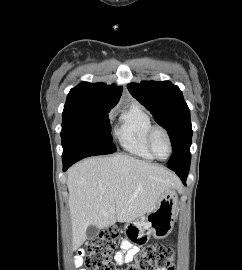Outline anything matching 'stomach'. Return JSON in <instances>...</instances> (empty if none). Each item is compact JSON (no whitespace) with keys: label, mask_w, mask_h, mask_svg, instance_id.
<instances>
[{"label":"stomach","mask_w":242,"mask_h":270,"mask_svg":"<svg viewBox=\"0 0 242 270\" xmlns=\"http://www.w3.org/2000/svg\"><path fill=\"white\" fill-rule=\"evenodd\" d=\"M177 210L176 194L168 189L161 195L153 211L125 225L127 239L136 245H144L151 236L156 239L167 237L173 229Z\"/></svg>","instance_id":"0dacf381"}]
</instances>
